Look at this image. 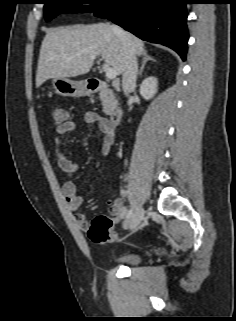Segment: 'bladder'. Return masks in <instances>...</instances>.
I'll return each instance as SVG.
<instances>
[{
    "label": "bladder",
    "mask_w": 236,
    "mask_h": 321,
    "mask_svg": "<svg viewBox=\"0 0 236 321\" xmlns=\"http://www.w3.org/2000/svg\"><path fill=\"white\" fill-rule=\"evenodd\" d=\"M141 254L138 252H130L119 256L116 261L125 265H136L141 261Z\"/></svg>",
    "instance_id": "obj_1"
}]
</instances>
